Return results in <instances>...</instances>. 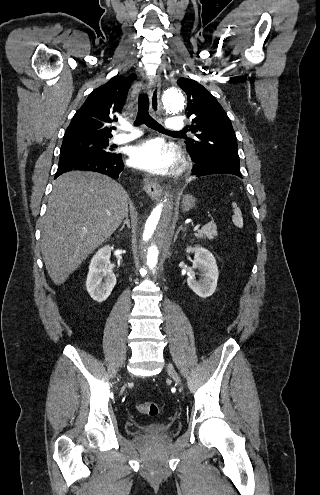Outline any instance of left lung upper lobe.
I'll return each instance as SVG.
<instances>
[{"instance_id":"1","label":"left lung upper lobe","mask_w":320,"mask_h":495,"mask_svg":"<svg viewBox=\"0 0 320 495\" xmlns=\"http://www.w3.org/2000/svg\"><path fill=\"white\" fill-rule=\"evenodd\" d=\"M177 84L187 94L186 114L192 117L189 129L198 138L185 142L190 154L211 164L240 168L236 135L217 99L195 80L182 77Z\"/></svg>"}]
</instances>
